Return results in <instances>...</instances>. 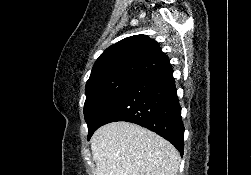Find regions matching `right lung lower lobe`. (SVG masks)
I'll use <instances>...</instances> for the list:
<instances>
[{"mask_svg": "<svg viewBox=\"0 0 251 175\" xmlns=\"http://www.w3.org/2000/svg\"><path fill=\"white\" fill-rule=\"evenodd\" d=\"M173 69L139 80L127 88L101 117L98 128L127 121L156 132L183 155L184 125Z\"/></svg>", "mask_w": 251, "mask_h": 175, "instance_id": "98d812e1", "label": "right lung lower lobe"}]
</instances>
